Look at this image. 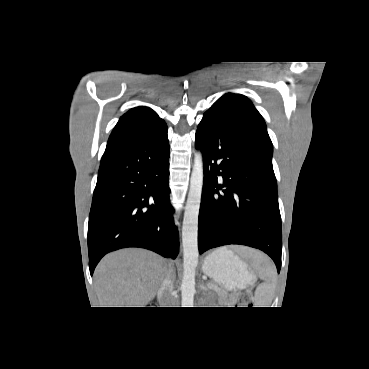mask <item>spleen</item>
<instances>
[{"instance_id":"3e777b00","label":"spleen","mask_w":369,"mask_h":369,"mask_svg":"<svg viewBox=\"0 0 369 369\" xmlns=\"http://www.w3.org/2000/svg\"><path fill=\"white\" fill-rule=\"evenodd\" d=\"M248 256L253 259L255 268L259 270L260 277L264 280V283L256 288L255 305H259L257 307H268L266 305L271 304L274 294L275 268L269 259L258 251L252 250Z\"/></svg>"}]
</instances>
